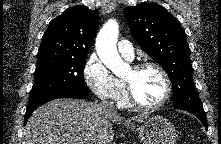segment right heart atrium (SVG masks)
<instances>
[{
    "label": "right heart atrium",
    "instance_id": "obj_1",
    "mask_svg": "<svg viewBox=\"0 0 221 144\" xmlns=\"http://www.w3.org/2000/svg\"><path fill=\"white\" fill-rule=\"evenodd\" d=\"M83 77L88 88L101 100L113 102L118 100L123 85L96 55H91L83 69Z\"/></svg>",
    "mask_w": 221,
    "mask_h": 144
}]
</instances>
